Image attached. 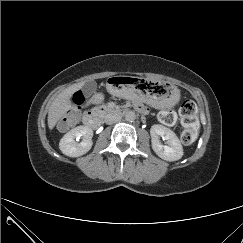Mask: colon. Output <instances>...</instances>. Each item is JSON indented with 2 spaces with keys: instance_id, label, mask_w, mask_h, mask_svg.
Wrapping results in <instances>:
<instances>
[{
  "instance_id": "5ec220e1",
  "label": "colon",
  "mask_w": 243,
  "mask_h": 243,
  "mask_svg": "<svg viewBox=\"0 0 243 243\" xmlns=\"http://www.w3.org/2000/svg\"><path fill=\"white\" fill-rule=\"evenodd\" d=\"M72 100L73 108L58 122V127L61 130L70 128L76 122L78 112L84 103V96L81 92H76ZM179 115L184 126V130L181 133V141L185 145H190L197 136L198 109L196 104L190 100L185 101L179 109ZM159 119L163 124L170 126L175 123L176 115L173 110L167 109L160 113Z\"/></svg>"
}]
</instances>
